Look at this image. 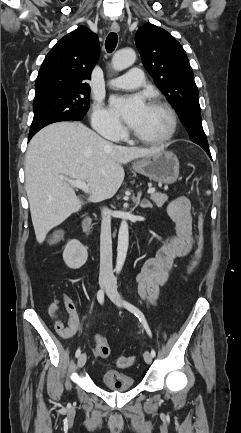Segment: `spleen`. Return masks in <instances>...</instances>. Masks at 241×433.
Masks as SVG:
<instances>
[{
    "mask_svg": "<svg viewBox=\"0 0 241 433\" xmlns=\"http://www.w3.org/2000/svg\"><path fill=\"white\" fill-rule=\"evenodd\" d=\"M206 193H207V194H210V191H207Z\"/></svg>",
    "mask_w": 241,
    "mask_h": 433,
    "instance_id": "1",
    "label": "spleen"
}]
</instances>
